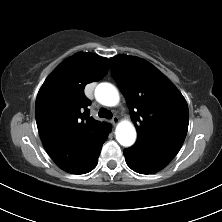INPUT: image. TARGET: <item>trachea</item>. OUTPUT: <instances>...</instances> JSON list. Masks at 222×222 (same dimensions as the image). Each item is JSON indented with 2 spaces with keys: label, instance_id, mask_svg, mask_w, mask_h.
Returning <instances> with one entry per match:
<instances>
[{
  "label": "trachea",
  "instance_id": "obj_1",
  "mask_svg": "<svg viewBox=\"0 0 222 222\" xmlns=\"http://www.w3.org/2000/svg\"><path fill=\"white\" fill-rule=\"evenodd\" d=\"M99 117L110 119V118H112V113L109 110L101 108L99 110Z\"/></svg>",
  "mask_w": 222,
  "mask_h": 222
}]
</instances>
